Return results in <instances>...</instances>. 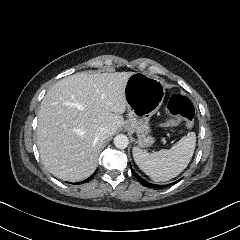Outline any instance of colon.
<instances>
[{
    "instance_id": "colon-1",
    "label": "colon",
    "mask_w": 240,
    "mask_h": 240,
    "mask_svg": "<svg viewBox=\"0 0 240 240\" xmlns=\"http://www.w3.org/2000/svg\"><path fill=\"white\" fill-rule=\"evenodd\" d=\"M166 111L170 117L162 120V128L176 127L177 118L181 117L186 120V129L190 130L195 123L196 110L192 100L184 95H174L168 100Z\"/></svg>"
}]
</instances>
